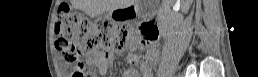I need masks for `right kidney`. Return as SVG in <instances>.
<instances>
[{
  "mask_svg": "<svg viewBox=\"0 0 258 77\" xmlns=\"http://www.w3.org/2000/svg\"><path fill=\"white\" fill-rule=\"evenodd\" d=\"M180 0L177 1L176 5L178 4ZM172 2V1H171ZM170 2V3H171ZM186 2H189L187 3L184 7H183V11L187 12L189 10V7H190V4L192 3V0H186ZM170 3L166 4V6H163L160 11H159V15L160 17H165L167 14L170 13L169 11V5Z\"/></svg>",
  "mask_w": 258,
  "mask_h": 77,
  "instance_id": "1",
  "label": "right kidney"
}]
</instances>
